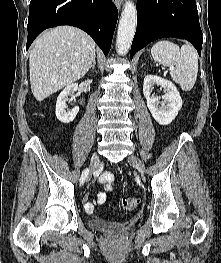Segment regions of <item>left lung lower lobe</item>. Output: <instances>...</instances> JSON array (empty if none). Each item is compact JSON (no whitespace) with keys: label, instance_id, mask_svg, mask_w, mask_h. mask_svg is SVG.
I'll return each instance as SVG.
<instances>
[{"label":"left lung lower lobe","instance_id":"0a47b994","mask_svg":"<svg viewBox=\"0 0 221 263\" xmlns=\"http://www.w3.org/2000/svg\"><path fill=\"white\" fill-rule=\"evenodd\" d=\"M137 30L130 58L163 37L186 39L201 55L202 31L195 0H137Z\"/></svg>","mask_w":221,"mask_h":263}]
</instances>
